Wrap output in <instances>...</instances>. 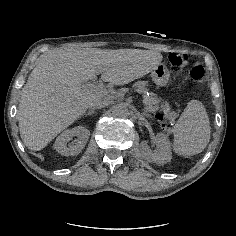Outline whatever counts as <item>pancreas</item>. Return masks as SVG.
I'll use <instances>...</instances> for the list:
<instances>
[{
  "instance_id": "1",
  "label": "pancreas",
  "mask_w": 236,
  "mask_h": 236,
  "mask_svg": "<svg viewBox=\"0 0 236 236\" xmlns=\"http://www.w3.org/2000/svg\"><path fill=\"white\" fill-rule=\"evenodd\" d=\"M148 88H149V85L145 81L139 82L135 86V89L138 92H144ZM124 95H125L124 90L119 89V90L113 92V94H111V93L106 94L105 99H106V101L111 102V101H113V99L118 100V99L124 97ZM143 103L146 106L145 111L154 112L160 108L161 99L158 98L157 95L153 93L149 97H144Z\"/></svg>"
}]
</instances>
